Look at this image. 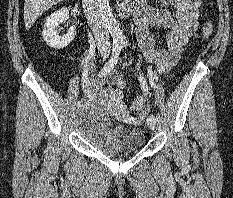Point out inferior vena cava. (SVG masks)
Instances as JSON below:
<instances>
[{
	"label": "inferior vena cava",
	"instance_id": "1",
	"mask_svg": "<svg viewBox=\"0 0 233 198\" xmlns=\"http://www.w3.org/2000/svg\"><path fill=\"white\" fill-rule=\"evenodd\" d=\"M85 16L95 37L97 49L100 52H109L111 42L103 15L102 0H82Z\"/></svg>",
	"mask_w": 233,
	"mask_h": 198
}]
</instances>
